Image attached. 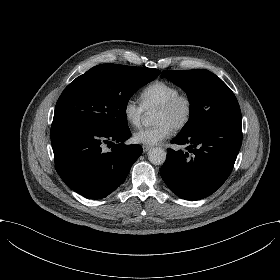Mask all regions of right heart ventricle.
I'll return each instance as SVG.
<instances>
[{
    "instance_id": "right-heart-ventricle-1",
    "label": "right heart ventricle",
    "mask_w": 280,
    "mask_h": 280,
    "mask_svg": "<svg viewBox=\"0 0 280 280\" xmlns=\"http://www.w3.org/2000/svg\"><path fill=\"white\" fill-rule=\"evenodd\" d=\"M180 93V89L171 83L156 80L146 85L141 93L140 99L145 110L156 109L161 103L171 99Z\"/></svg>"
}]
</instances>
